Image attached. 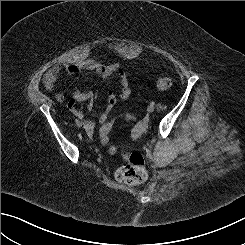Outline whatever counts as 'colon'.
Segmentation results:
<instances>
[{
    "instance_id": "5ec220e1",
    "label": "colon",
    "mask_w": 245,
    "mask_h": 245,
    "mask_svg": "<svg viewBox=\"0 0 245 245\" xmlns=\"http://www.w3.org/2000/svg\"><path fill=\"white\" fill-rule=\"evenodd\" d=\"M155 86L160 91L168 90L172 86V80L167 76H161L156 80ZM126 119H133L132 116L126 115ZM114 121L107 122L100 129L101 142L105 145L109 143V134L113 128ZM111 153H116L114 147H110ZM125 164L119 167L115 173L119 182L127 185H137L144 182L147 178V171L143 156L138 152H132L124 156Z\"/></svg>"
}]
</instances>
